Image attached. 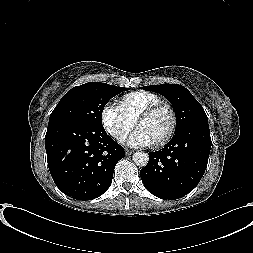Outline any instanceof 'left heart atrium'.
<instances>
[{"label":"left heart atrium","instance_id":"left-heart-atrium-1","mask_svg":"<svg viewBox=\"0 0 253 253\" xmlns=\"http://www.w3.org/2000/svg\"><path fill=\"white\" fill-rule=\"evenodd\" d=\"M126 143L132 147H146L154 144V141L146 131L138 128L129 136Z\"/></svg>","mask_w":253,"mask_h":253}]
</instances>
